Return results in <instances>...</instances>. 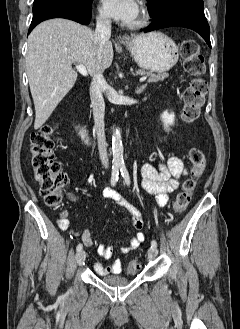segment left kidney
I'll use <instances>...</instances> for the list:
<instances>
[{
  "label": "left kidney",
  "instance_id": "5707ae66",
  "mask_svg": "<svg viewBox=\"0 0 240 329\" xmlns=\"http://www.w3.org/2000/svg\"><path fill=\"white\" fill-rule=\"evenodd\" d=\"M164 128L169 130V126H172L175 121V115L171 111H164L161 115Z\"/></svg>",
  "mask_w": 240,
  "mask_h": 329
}]
</instances>
